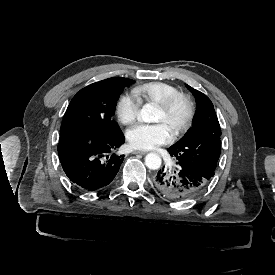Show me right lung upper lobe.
<instances>
[{"label":"right lung upper lobe","instance_id":"right-lung-upper-lobe-1","mask_svg":"<svg viewBox=\"0 0 275 275\" xmlns=\"http://www.w3.org/2000/svg\"><path fill=\"white\" fill-rule=\"evenodd\" d=\"M106 80H109V81H124V80H128V78H109V79H106Z\"/></svg>","mask_w":275,"mask_h":275}]
</instances>
